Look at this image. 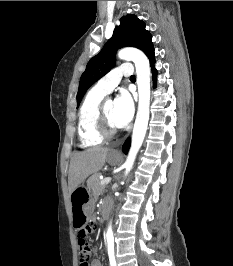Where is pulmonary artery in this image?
<instances>
[{
  "label": "pulmonary artery",
  "mask_w": 233,
  "mask_h": 266,
  "mask_svg": "<svg viewBox=\"0 0 233 266\" xmlns=\"http://www.w3.org/2000/svg\"><path fill=\"white\" fill-rule=\"evenodd\" d=\"M133 73L131 64H123L111 70L105 76H103L95 85L99 91L108 94L110 93L120 82L121 78L129 77Z\"/></svg>",
  "instance_id": "1"
}]
</instances>
